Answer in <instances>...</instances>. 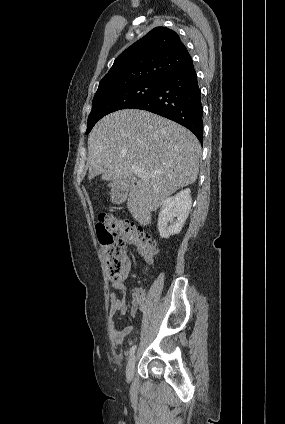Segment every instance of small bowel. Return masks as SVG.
<instances>
[{"label":"small bowel","mask_w":285,"mask_h":424,"mask_svg":"<svg viewBox=\"0 0 285 424\" xmlns=\"http://www.w3.org/2000/svg\"><path fill=\"white\" fill-rule=\"evenodd\" d=\"M130 270V263L127 261L123 274L116 280H112V293L110 295V319L113 330V341L121 346L132 330V326L127 324L118 327L113 320L115 316L123 315L127 312L126 294L127 286L125 280ZM149 301L142 286L135 287L132 290V303L130 307V316L135 317L138 311H145L148 308Z\"/></svg>","instance_id":"c3829d8e"}]
</instances>
